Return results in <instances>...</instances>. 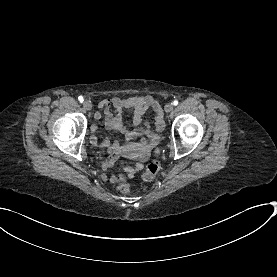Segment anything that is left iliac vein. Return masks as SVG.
<instances>
[{
  "label": "left iliac vein",
  "instance_id": "obj_1",
  "mask_svg": "<svg viewBox=\"0 0 277 277\" xmlns=\"http://www.w3.org/2000/svg\"><path fill=\"white\" fill-rule=\"evenodd\" d=\"M173 108H174L173 104L172 103H168V104L165 105V112L170 113V112L173 111Z\"/></svg>",
  "mask_w": 277,
  "mask_h": 277
}]
</instances>
